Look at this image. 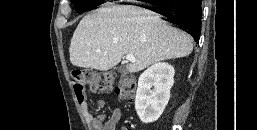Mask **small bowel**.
Returning <instances> with one entry per match:
<instances>
[{"mask_svg": "<svg viewBox=\"0 0 257 130\" xmlns=\"http://www.w3.org/2000/svg\"><path fill=\"white\" fill-rule=\"evenodd\" d=\"M78 103L88 124L89 130H117V125L122 116L119 108H115L109 118H105L104 116L96 117L89 112L88 101L85 97L82 100H78ZM99 105L103 106L104 102L99 101ZM121 130L128 129L122 127Z\"/></svg>", "mask_w": 257, "mask_h": 130, "instance_id": "c3829d8e", "label": "small bowel"}]
</instances>
